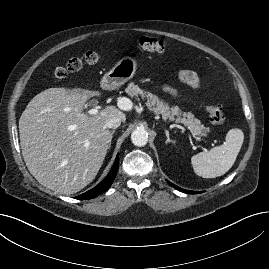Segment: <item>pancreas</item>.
<instances>
[{
    "mask_svg": "<svg viewBox=\"0 0 269 269\" xmlns=\"http://www.w3.org/2000/svg\"><path fill=\"white\" fill-rule=\"evenodd\" d=\"M125 92L131 97H138L140 95L142 99H146V106L148 109L156 115H161L163 119H169L170 121L176 120V122L183 123L194 135H206L204 125L201 124L199 119L194 118L193 114H182L179 108L170 107L168 103L164 102V100L150 92L140 89L139 86L133 82L129 83ZM181 114L183 117H181ZM175 116H177V118H175Z\"/></svg>",
    "mask_w": 269,
    "mask_h": 269,
    "instance_id": "obj_1",
    "label": "pancreas"
}]
</instances>
